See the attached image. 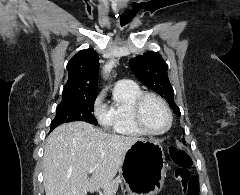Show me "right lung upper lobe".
I'll return each instance as SVG.
<instances>
[{"mask_svg": "<svg viewBox=\"0 0 240 195\" xmlns=\"http://www.w3.org/2000/svg\"><path fill=\"white\" fill-rule=\"evenodd\" d=\"M98 54L93 49H84L68 62L69 78L62 98L96 97L98 93Z\"/></svg>", "mask_w": 240, "mask_h": 195, "instance_id": "right-lung-upper-lobe-1", "label": "right lung upper lobe"}]
</instances>
